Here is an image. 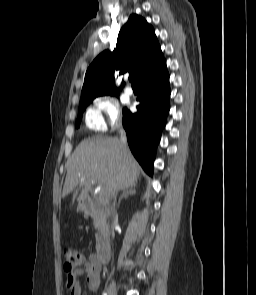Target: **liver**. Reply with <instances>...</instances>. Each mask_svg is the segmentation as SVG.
<instances>
[{
  "label": "liver",
  "mask_w": 256,
  "mask_h": 295,
  "mask_svg": "<svg viewBox=\"0 0 256 295\" xmlns=\"http://www.w3.org/2000/svg\"><path fill=\"white\" fill-rule=\"evenodd\" d=\"M67 174L62 197L71 194L77 186H84L80 201L88 197L91 184L102 186L108 199L117 190L135 186L139 166L133 155L121 141L111 137H92L83 140L67 161Z\"/></svg>",
  "instance_id": "1"
}]
</instances>
